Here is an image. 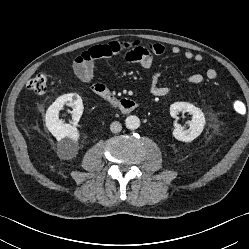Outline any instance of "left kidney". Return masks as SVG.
<instances>
[{
    "label": "left kidney",
    "instance_id": "1",
    "mask_svg": "<svg viewBox=\"0 0 249 249\" xmlns=\"http://www.w3.org/2000/svg\"><path fill=\"white\" fill-rule=\"evenodd\" d=\"M179 112H188L192 115V120L188 122L190 129L184 130L176 122L174 123L173 136L182 142H191L196 139L203 131L205 126V117L203 112L188 102H175L170 106V115L177 119Z\"/></svg>",
    "mask_w": 249,
    "mask_h": 249
}]
</instances>
